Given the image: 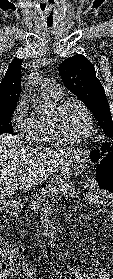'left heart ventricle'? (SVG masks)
<instances>
[{
  "instance_id": "left-heart-ventricle-1",
  "label": "left heart ventricle",
  "mask_w": 113,
  "mask_h": 279,
  "mask_svg": "<svg viewBox=\"0 0 113 279\" xmlns=\"http://www.w3.org/2000/svg\"><path fill=\"white\" fill-rule=\"evenodd\" d=\"M57 125L65 136L80 137L88 129V120L78 105L69 104L59 114Z\"/></svg>"
}]
</instances>
